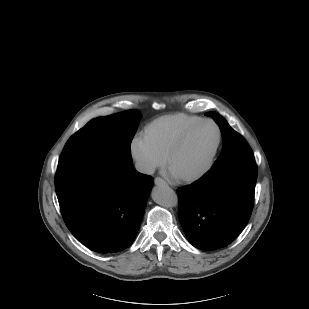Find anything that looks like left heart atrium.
<instances>
[{
    "instance_id": "39dd6f15",
    "label": "left heart atrium",
    "mask_w": 309,
    "mask_h": 309,
    "mask_svg": "<svg viewBox=\"0 0 309 309\" xmlns=\"http://www.w3.org/2000/svg\"><path fill=\"white\" fill-rule=\"evenodd\" d=\"M166 173L171 178H177L176 174L170 168H168Z\"/></svg>"
}]
</instances>
